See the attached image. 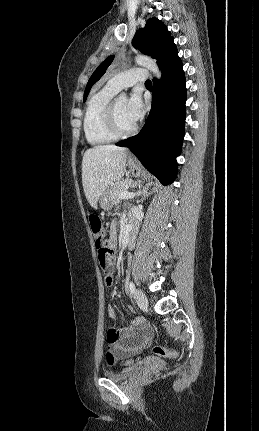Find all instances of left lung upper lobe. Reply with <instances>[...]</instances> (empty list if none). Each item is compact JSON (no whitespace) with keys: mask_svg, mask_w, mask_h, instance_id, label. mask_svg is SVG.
Returning <instances> with one entry per match:
<instances>
[{"mask_svg":"<svg viewBox=\"0 0 259 431\" xmlns=\"http://www.w3.org/2000/svg\"><path fill=\"white\" fill-rule=\"evenodd\" d=\"M173 43V37L164 23L157 18H150L145 27L140 29L135 34L132 44L144 54L150 55L159 63L165 50ZM113 61V56L108 57L103 61L90 77L85 92L83 101L86 100L88 93L100 77L106 72L107 67Z\"/></svg>","mask_w":259,"mask_h":431,"instance_id":"5c2ea615","label":"left lung upper lobe"}]
</instances>
